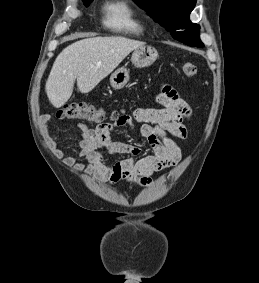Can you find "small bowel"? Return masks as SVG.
I'll return each instance as SVG.
<instances>
[{"mask_svg": "<svg viewBox=\"0 0 259 283\" xmlns=\"http://www.w3.org/2000/svg\"><path fill=\"white\" fill-rule=\"evenodd\" d=\"M155 101L161 107H140L132 115H123L113 123H101L95 128L78 124L79 152L64 157L63 163L109 184L133 182L139 178L141 184L148 185L154 173L180 161V148L171 136L185 139L186 122L191 117L190 107L171 86H164ZM41 119L47 122L49 117L45 115ZM116 127L137 129L147 140L153 154L136 159L141 154L140 147L112 141L110 134ZM102 150L111 155L128 156L108 164Z\"/></svg>", "mask_w": 259, "mask_h": 283, "instance_id": "obj_1", "label": "small bowel"}]
</instances>
